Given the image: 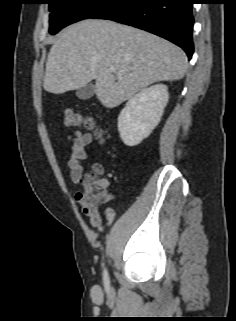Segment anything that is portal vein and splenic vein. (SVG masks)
<instances>
[{
    "mask_svg": "<svg viewBox=\"0 0 236 321\" xmlns=\"http://www.w3.org/2000/svg\"><path fill=\"white\" fill-rule=\"evenodd\" d=\"M110 71L113 73H118L117 69L115 67H110Z\"/></svg>",
    "mask_w": 236,
    "mask_h": 321,
    "instance_id": "18ae733b",
    "label": "portal vein and splenic vein"
}]
</instances>
